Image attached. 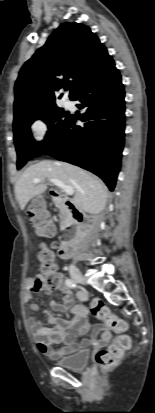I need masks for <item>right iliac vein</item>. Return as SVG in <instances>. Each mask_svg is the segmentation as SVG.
Segmentation results:
<instances>
[{
    "label": "right iliac vein",
    "mask_w": 155,
    "mask_h": 413,
    "mask_svg": "<svg viewBox=\"0 0 155 413\" xmlns=\"http://www.w3.org/2000/svg\"><path fill=\"white\" fill-rule=\"evenodd\" d=\"M72 279L77 283L85 284V278L78 271H75V272L72 273Z\"/></svg>",
    "instance_id": "right-iliac-vein-1"
}]
</instances>
